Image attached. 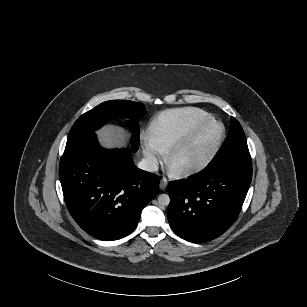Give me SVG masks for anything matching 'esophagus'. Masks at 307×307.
I'll list each match as a JSON object with an SVG mask.
<instances>
[{"instance_id": "esophagus-1", "label": "esophagus", "mask_w": 307, "mask_h": 307, "mask_svg": "<svg viewBox=\"0 0 307 307\" xmlns=\"http://www.w3.org/2000/svg\"><path fill=\"white\" fill-rule=\"evenodd\" d=\"M167 184H168V180L166 179V177L161 178L160 185H159L160 189L164 191L167 187Z\"/></svg>"}]
</instances>
